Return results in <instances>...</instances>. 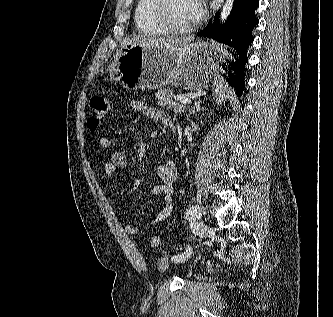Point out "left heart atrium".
I'll list each match as a JSON object with an SVG mask.
<instances>
[{
	"instance_id": "39dd6f15",
	"label": "left heart atrium",
	"mask_w": 333,
	"mask_h": 317,
	"mask_svg": "<svg viewBox=\"0 0 333 317\" xmlns=\"http://www.w3.org/2000/svg\"><path fill=\"white\" fill-rule=\"evenodd\" d=\"M195 9H196V16L197 19L199 17H201V15L203 14V4H202V0H195Z\"/></svg>"
}]
</instances>
